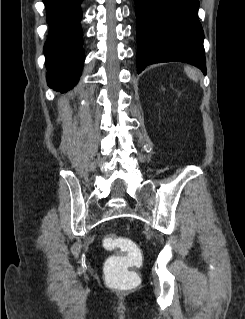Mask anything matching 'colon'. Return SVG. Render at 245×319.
Instances as JSON below:
<instances>
[{"label": "colon", "mask_w": 245, "mask_h": 319, "mask_svg": "<svg viewBox=\"0 0 245 319\" xmlns=\"http://www.w3.org/2000/svg\"><path fill=\"white\" fill-rule=\"evenodd\" d=\"M102 245L106 250L120 253L106 264L107 277L119 284H136V279L127 275L128 269L140 262L135 243L128 238L111 235L103 239Z\"/></svg>", "instance_id": "colon-1"}]
</instances>
